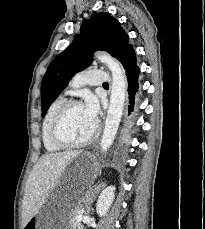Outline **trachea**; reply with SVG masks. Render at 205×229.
Segmentation results:
<instances>
[{"instance_id": "3493384b", "label": "trachea", "mask_w": 205, "mask_h": 229, "mask_svg": "<svg viewBox=\"0 0 205 229\" xmlns=\"http://www.w3.org/2000/svg\"><path fill=\"white\" fill-rule=\"evenodd\" d=\"M104 85H108V83H104Z\"/></svg>"}]
</instances>
